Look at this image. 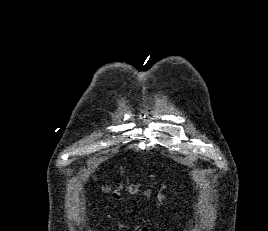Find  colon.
<instances>
[{
  "mask_svg": "<svg viewBox=\"0 0 268 231\" xmlns=\"http://www.w3.org/2000/svg\"><path fill=\"white\" fill-rule=\"evenodd\" d=\"M102 179L103 178H99V180H102ZM104 187L107 193H109L115 198H122L126 194H137V193L147 194L148 193L147 190H143L135 184L106 182L104 183Z\"/></svg>",
  "mask_w": 268,
  "mask_h": 231,
  "instance_id": "1",
  "label": "colon"
}]
</instances>
